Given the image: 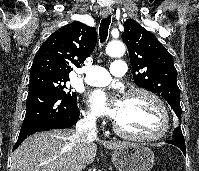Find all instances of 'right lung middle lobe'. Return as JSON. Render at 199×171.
I'll use <instances>...</instances> for the list:
<instances>
[{
	"label": "right lung middle lobe",
	"instance_id": "1",
	"mask_svg": "<svg viewBox=\"0 0 199 171\" xmlns=\"http://www.w3.org/2000/svg\"><path fill=\"white\" fill-rule=\"evenodd\" d=\"M68 80L69 78H63L49 74H39L35 76H30L29 90L36 87H49L63 95L65 98L76 102V93L67 90L66 82Z\"/></svg>",
	"mask_w": 199,
	"mask_h": 171
}]
</instances>
